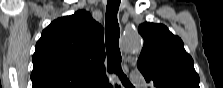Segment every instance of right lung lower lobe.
Instances as JSON below:
<instances>
[{"mask_svg":"<svg viewBox=\"0 0 223 88\" xmlns=\"http://www.w3.org/2000/svg\"><path fill=\"white\" fill-rule=\"evenodd\" d=\"M100 88H111V85L107 84V81L100 86Z\"/></svg>","mask_w":223,"mask_h":88,"instance_id":"obj_1","label":"right lung lower lobe"}]
</instances>
